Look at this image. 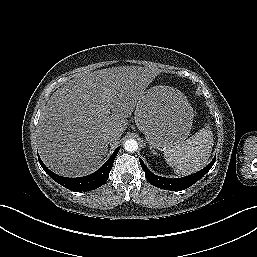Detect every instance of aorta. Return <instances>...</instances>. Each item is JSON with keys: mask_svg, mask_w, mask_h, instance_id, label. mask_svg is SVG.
<instances>
[{"mask_svg": "<svg viewBox=\"0 0 257 257\" xmlns=\"http://www.w3.org/2000/svg\"><path fill=\"white\" fill-rule=\"evenodd\" d=\"M124 148L128 152H135L138 149V143L135 139H128L124 143Z\"/></svg>", "mask_w": 257, "mask_h": 257, "instance_id": "aorta-1", "label": "aorta"}]
</instances>
